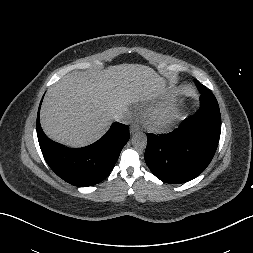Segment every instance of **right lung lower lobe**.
Returning a JSON list of instances; mask_svg holds the SVG:
<instances>
[{
	"label": "right lung lower lobe",
	"instance_id": "1",
	"mask_svg": "<svg viewBox=\"0 0 253 253\" xmlns=\"http://www.w3.org/2000/svg\"><path fill=\"white\" fill-rule=\"evenodd\" d=\"M40 106L37 115V136L50 168L64 181L78 187L92 186L104 180L129 140L128 126L115 122L94 144L83 148H67L51 141L43 133L39 120Z\"/></svg>",
	"mask_w": 253,
	"mask_h": 253
}]
</instances>
